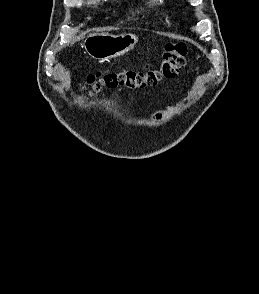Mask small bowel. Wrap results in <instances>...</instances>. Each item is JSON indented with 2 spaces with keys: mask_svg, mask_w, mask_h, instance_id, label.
Wrapping results in <instances>:
<instances>
[{
  "mask_svg": "<svg viewBox=\"0 0 259 294\" xmlns=\"http://www.w3.org/2000/svg\"><path fill=\"white\" fill-rule=\"evenodd\" d=\"M153 117L156 120H160L163 117V112L155 113Z\"/></svg>",
  "mask_w": 259,
  "mask_h": 294,
  "instance_id": "1",
  "label": "small bowel"
}]
</instances>
